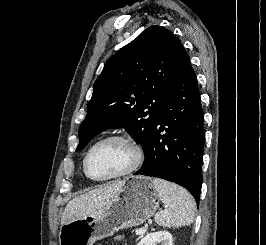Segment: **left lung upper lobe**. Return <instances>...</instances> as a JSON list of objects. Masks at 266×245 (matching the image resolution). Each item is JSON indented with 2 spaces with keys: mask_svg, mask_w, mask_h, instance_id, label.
Instances as JSON below:
<instances>
[{
  "mask_svg": "<svg viewBox=\"0 0 266 245\" xmlns=\"http://www.w3.org/2000/svg\"><path fill=\"white\" fill-rule=\"evenodd\" d=\"M188 60L180 40L161 26L149 27L125 45L93 85L76 151L100 132L120 127L145 151L160 106Z\"/></svg>",
  "mask_w": 266,
  "mask_h": 245,
  "instance_id": "obj_1",
  "label": "left lung upper lobe"
}]
</instances>
